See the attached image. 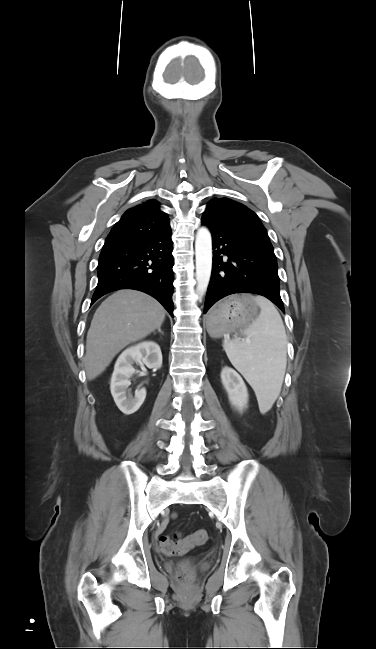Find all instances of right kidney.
Instances as JSON below:
<instances>
[{
  "label": "right kidney",
  "instance_id": "right-kidney-1",
  "mask_svg": "<svg viewBox=\"0 0 376 649\" xmlns=\"http://www.w3.org/2000/svg\"><path fill=\"white\" fill-rule=\"evenodd\" d=\"M143 363L148 368L159 369L162 366V353L159 345L153 341H143L124 350L117 359L111 377V394L117 407L127 415L136 412L146 397V389H137L135 395L127 396V388L134 374L133 363Z\"/></svg>",
  "mask_w": 376,
  "mask_h": 649
}]
</instances>
